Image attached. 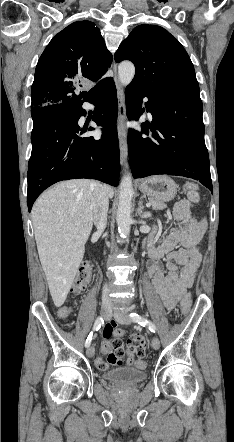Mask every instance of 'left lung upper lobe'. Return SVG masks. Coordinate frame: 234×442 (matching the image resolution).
<instances>
[{"label": "left lung upper lobe", "mask_w": 234, "mask_h": 442, "mask_svg": "<svg viewBox=\"0 0 234 442\" xmlns=\"http://www.w3.org/2000/svg\"><path fill=\"white\" fill-rule=\"evenodd\" d=\"M117 63L136 68L131 85L156 92L199 94L194 66L183 46L164 28L143 24L133 29L115 53Z\"/></svg>", "instance_id": "1"}]
</instances>
